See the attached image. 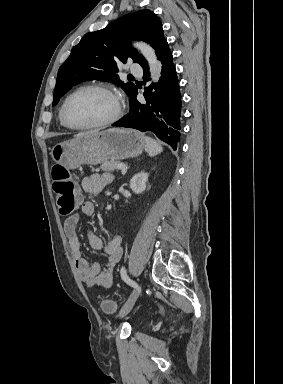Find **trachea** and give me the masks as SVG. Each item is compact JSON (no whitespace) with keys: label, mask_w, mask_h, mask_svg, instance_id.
<instances>
[{"label":"trachea","mask_w":283,"mask_h":384,"mask_svg":"<svg viewBox=\"0 0 283 384\" xmlns=\"http://www.w3.org/2000/svg\"><path fill=\"white\" fill-rule=\"evenodd\" d=\"M128 77H133V75H128Z\"/></svg>","instance_id":"3493384b"}]
</instances>
